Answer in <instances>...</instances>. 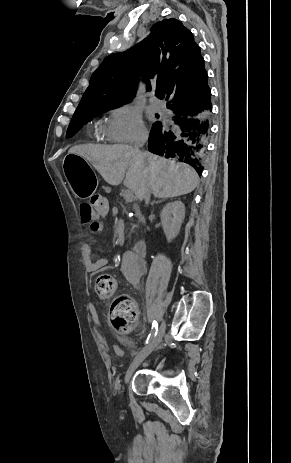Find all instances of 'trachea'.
Returning <instances> with one entry per match:
<instances>
[{"label": "trachea", "mask_w": 291, "mask_h": 463, "mask_svg": "<svg viewBox=\"0 0 291 463\" xmlns=\"http://www.w3.org/2000/svg\"><path fill=\"white\" fill-rule=\"evenodd\" d=\"M158 98H164L165 94L163 92H156Z\"/></svg>", "instance_id": "3493384b"}]
</instances>
